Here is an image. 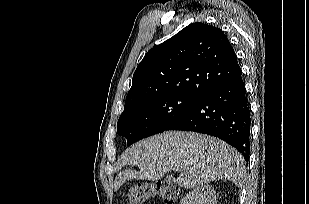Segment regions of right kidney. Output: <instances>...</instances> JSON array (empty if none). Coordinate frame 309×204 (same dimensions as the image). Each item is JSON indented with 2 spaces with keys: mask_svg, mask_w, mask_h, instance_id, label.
<instances>
[{
  "mask_svg": "<svg viewBox=\"0 0 309 204\" xmlns=\"http://www.w3.org/2000/svg\"><path fill=\"white\" fill-rule=\"evenodd\" d=\"M180 204H217L216 191L211 185H199L183 197Z\"/></svg>",
  "mask_w": 309,
  "mask_h": 204,
  "instance_id": "ca27d5eb",
  "label": "right kidney"
}]
</instances>
